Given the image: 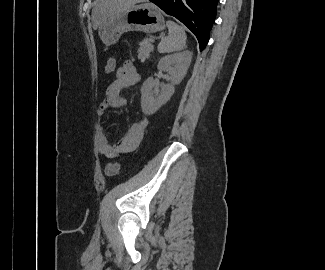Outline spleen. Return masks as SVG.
<instances>
[{
  "mask_svg": "<svg viewBox=\"0 0 325 270\" xmlns=\"http://www.w3.org/2000/svg\"><path fill=\"white\" fill-rule=\"evenodd\" d=\"M168 36L161 40L158 45L160 53H171L184 49L186 44V33L183 27L173 21H167Z\"/></svg>",
  "mask_w": 325,
  "mask_h": 270,
  "instance_id": "1",
  "label": "spleen"
}]
</instances>
